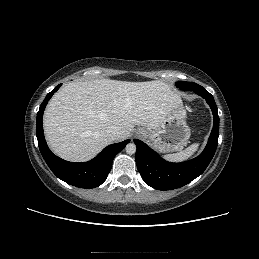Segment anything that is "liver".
I'll use <instances>...</instances> for the list:
<instances>
[{
	"label": "liver",
	"instance_id": "6515ba94",
	"mask_svg": "<svg viewBox=\"0 0 259 259\" xmlns=\"http://www.w3.org/2000/svg\"><path fill=\"white\" fill-rule=\"evenodd\" d=\"M181 99L162 81L127 82L110 79L66 84L48 103L44 132L50 148L69 161H87L112 143L105 136L110 126L127 139L134 126L149 130L162 123Z\"/></svg>",
	"mask_w": 259,
	"mask_h": 259
}]
</instances>
